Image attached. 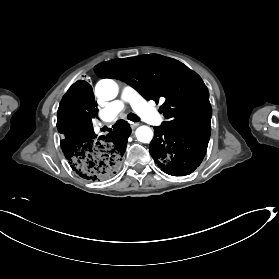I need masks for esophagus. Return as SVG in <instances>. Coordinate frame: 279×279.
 I'll return each mask as SVG.
<instances>
[{"label":"esophagus","mask_w":279,"mask_h":279,"mask_svg":"<svg viewBox=\"0 0 279 279\" xmlns=\"http://www.w3.org/2000/svg\"><path fill=\"white\" fill-rule=\"evenodd\" d=\"M140 124L138 122H134V123H131L130 126L132 129H135L136 127H138Z\"/></svg>","instance_id":"1"}]
</instances>
